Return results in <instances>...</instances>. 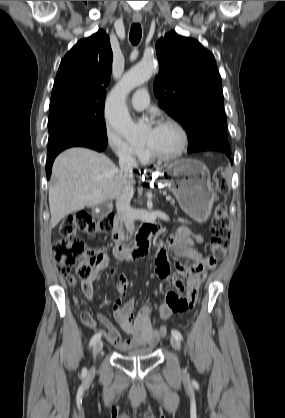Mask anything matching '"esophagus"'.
Instances as JSON below:
<instances>
[{
	"instance_id": "obj_1",
	"label": "esophagus",
	"mask_w": 285,
	"mask_h": 418,
	"mask_svg": "<svg viewBox=\"0 0 285 418\" xmlns=\"http://www.w3.org/2000/svg\"><path fill=\"white\" fill-rule=\"evenodd\" d=\"M133 21L135 23H140L142 21V16L140 14H134L133 15Z\"/></svg>"
}]
</instances>
